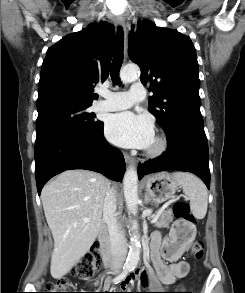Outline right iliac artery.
I'll return each mask as SVG.
<instances>
[{"label":"right iliac artery","mask_w":245,"mask_h":293,"mask_svg":"<svg viewBox=\"0 0 245 293\" xmlns=\"http://www.w3.org/2000/svg\"><path fill=\"white\" fill-rule=\"evenodd\" d=\"M130 270L128 268H123V271L113 279V282L115 284L119 283L123 278L126 277V275L128 274Z\"/></svg>","instance_id":"right-iliac-artery-1"}]
</instances>
